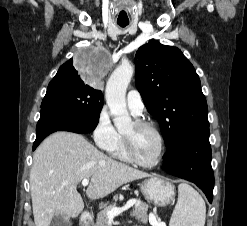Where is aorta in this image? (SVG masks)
Masks as SVG:
<instances>
[{"label":"aorta","instance_id":"aorta-1","mask_svg":"<svg viewBox=\"0 0 247 226\" xmlns=\"http://www.w3.org/2000/svg\"><path fill=\"white\" fill-rule=\"evenodd\" d=\"M134 73L133 66L123 61L111 74L105 91L107 105L114 117V125L120 129L131 122L126 106V90Z\"/></svg>","mask_w":247,"mask_h":226}]
</instances>
